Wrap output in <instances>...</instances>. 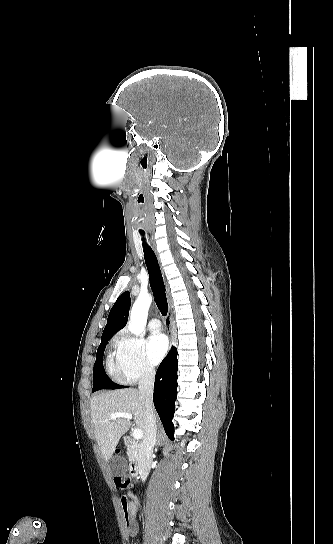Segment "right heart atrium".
<instances>
[{"label": "right heart atrium", "instance_id": "d8ad5b80", "mask_svg": "<svg viewBox=\"0 0 333 544\" xmlns=\"http://www.w3.org/2000/svg\"><path fill=\"white\" fill-rule=\"evenodd\" d=\"M115 360L121 380L135 383L155 375V369L146 357L141 340L127 331L119 332L114 338Z\"/></svg>", "mask_w": 333, "mask_h": 544}]
</instances>
